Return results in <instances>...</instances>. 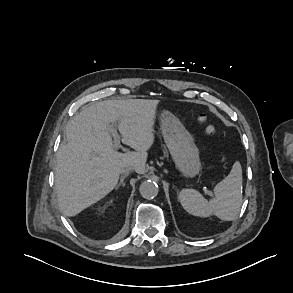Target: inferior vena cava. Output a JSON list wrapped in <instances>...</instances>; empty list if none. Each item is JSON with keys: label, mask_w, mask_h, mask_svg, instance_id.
Returning a JSON list of instances; mask_svg holds the SVG:
<instances>
[{"label": "inferior vena cava", "mask_w": 293, "mask_h": 293, "mask_svg": "<svg viewBox=\"0 0 293 293\" xmlns=\"http://www.w3.org/2000/svg\"><path fill=\"white\" fill-rule=\"evenodd\" d=\"M134 170V167L133 166H126L124 168L121 169V174L125 175V174H129L131 171Z\"/></svg>", "instance_id": "inferior-vena-cava-1"}]
</instances>
